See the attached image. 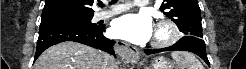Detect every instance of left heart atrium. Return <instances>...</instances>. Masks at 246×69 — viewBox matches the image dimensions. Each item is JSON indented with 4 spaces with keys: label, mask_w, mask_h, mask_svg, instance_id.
Listing matches in <instances>:
<instances>
[{
    "label": "left heart atrium",
    "mask_w": 246,
    "mask_h": 69,
    "mask_svg": "<svg viewBox=\"0 0 246 69\" xmlns=\"http://www.w3.org/2000/svg\"><path fill=\"white\" fill-rule=\"evenodd\" d=\"M111 32L120 39L143 44L151 38L153 27L145 13L127 14L113 22Z\"/></svg>",
    "instance_id": "1"
}]
</instances>
